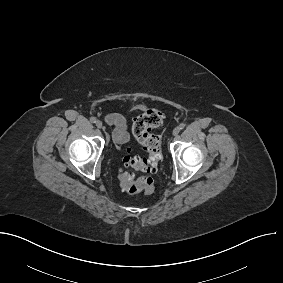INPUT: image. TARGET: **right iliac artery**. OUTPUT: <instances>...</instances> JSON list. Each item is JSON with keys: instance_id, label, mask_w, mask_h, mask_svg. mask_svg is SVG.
Returning a JSON list of instances; mask_svg holds the SVG:
<instances>
[{"instance_id": "1", "label": "right iliac artery", "mask_w": 283, "mask_h": 283, "mask_svg": "<svg viewBox=\"0 0 283 283\" xmlns=\"http://www.w3.org/2000/svg\"><path fill=\"white\" fill-rule=\"evenodd\" d=\"M90 121H91L92 123H96V122H97V119H96L95 117H91V118H90Z\"/></svg>"}]
</instances>
